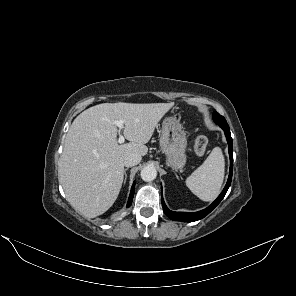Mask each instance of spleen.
I'll return each mask as SVG.
<instances>
[{
	"mask_svg": "<svg viewBox=\"0 0 296 296\" xmlns=\"http://www.w3.org/2000/svg\"><path fill=\"white\" fill-rule=\"evenodd\" d=\"M225 160L219 147L186 179V186L203 201H212L220 193L224 179Z\"/></svg>",
	"mask_w": 296,
	"mask_h": 296,
	"instance_id": "spleen-1",
	"label": "spleen"
}]
</instances>
